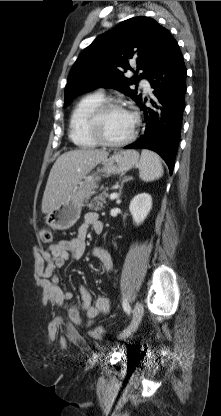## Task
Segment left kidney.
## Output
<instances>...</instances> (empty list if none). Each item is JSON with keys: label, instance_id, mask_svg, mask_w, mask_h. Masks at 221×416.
<instances>
[{"label": "left kidney", "instance_id": "5707ae66", "mask_svg": "<svg viewBox=\"0 0 221 416\" xmlns=\"http://www.w3.org/2000/svg\"><path fill=\"white\" fill-rule=\"evenodd\" d=\"M152 208V197L148 193L136 195L129 205V210L136 225L143 223Z\"/></svg>", "mask_w": 221, "mask_h": 416}]
</instances>
